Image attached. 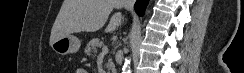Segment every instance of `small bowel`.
<instances>
[{"mask_svg": "<svg viewBox=\"0 0 244 73\" xmlns=\"http://www.w3.org/2000/svg\"><path fill=\"white\" fill-rule=\"evenodd\" d=\"M77 73H86V71L83 68L77 69Z\"/></svg>", "mask_w": 244, "mask_h": 73, "instance_id": "1", "label": "small bowel"}]
</instances>
